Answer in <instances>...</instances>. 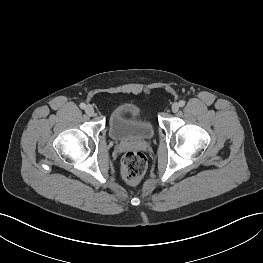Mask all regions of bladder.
I'll use <instances>...</instances> for the list:
<instances>
[{
	"label": "bladder",
	"instance_id": "bladder-1",
	"mask_svg": "<svg viewBox=\"0 0 263 263\" xmlns=\"http://www.w3.org/2000/svg\"><path fill=\"white\" fill-rule=\"evenodd\" d=\"M109 134L117 141H147L154 136V126L140 107L124 104L112 113Z\"/></svg>",
	"mask_w": 263,
	"mask_h": 263
}]
</instances>
